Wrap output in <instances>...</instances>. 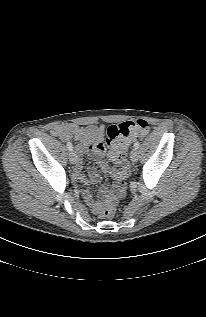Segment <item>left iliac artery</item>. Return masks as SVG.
<instances>
[{
	"label": "left iliac artery",
	"mask_w": 206,
	"mask_h": 317,
	"mask_svg": "<svg viewBox=\"0 0 206 317\" xmlns=\"http://www.w3.org/2000/svg\"><path fill=\"white\" fill-rule=\"evenodd\" d=\"M139 146H140V143H139V142H135V143H134V148H135V149H138Z\"/></svg>",
	"instance_id": "44dca946"
}]
</instances>
